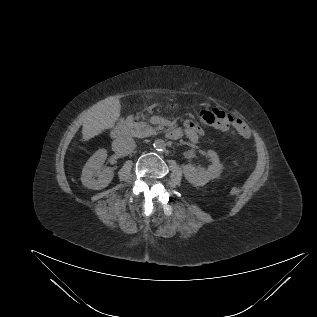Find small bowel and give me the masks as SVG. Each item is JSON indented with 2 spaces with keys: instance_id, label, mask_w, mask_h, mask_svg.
Masks as SVG:
<instances>
[{
  "instance_id": "1",
  "label": "small bowel",
  "mask_w": 317,
  "mask_h": 317,
  "mask_svg": "<svg viewBox=\"0 0 317 317\" xmlns=\"http://www.w3.org/2000/svg\"><path fill=\"white\" fill-rule=\"evenodd\" d=\"M221 112L223 113V116H222V123L218 125L219 129L226 130L230 127H233L243 137L249 136L250 134L249 128L247 124L241 118L232 117L223 111ZM173 130L176 131V139L179 138L182 134H185L192 143H196L198 138L202 136L204 133L203 129L192 120H187L182 130H178V129H173Z\"/></svg>"
}]
</instances>
